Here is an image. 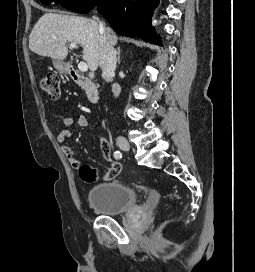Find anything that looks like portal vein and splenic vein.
Wrapping results in <instances>:
<instances>
[{
	"mask_svg": "<svg viewBox=\"0 0 255 272\" xmlns=\"http://www.w3.org/2000/svg\"><path fill=\"white\" fill-rule=\"evenodd\" d=\"M70 48H77V45L75 43H70L69 44ZM78 69L82 72H86L88 70V65L86 62H80L78 64Z\"/></svg>",
	"mask_w": 255,
	"mask_h": 272,
	"instance_id": "18ae733b",
	"label": "portal vein and splenic vein"
}]
</instances>
